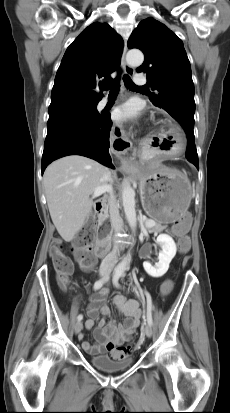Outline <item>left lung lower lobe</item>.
<instances>
[{
	"label": "left lung lower lobe",
	"mask_w": 230,
	"mask_h": 413,
	"mask_svg": "<svg viewBox=\"0 0 230 413\" xmlns=\"http://www.w3.org/2000/svg\"><path fill=\"white\" fill-rule=\"evenodd\" d=\"M187 136V150L185 153V156L187 160L191 163H193L197 169H199V164H198V155H197V150L195 146V141H194V132L192 130H188L186 132Z\"/></svg>",
	"instance_id": "obj_1"
}]
</instances>
